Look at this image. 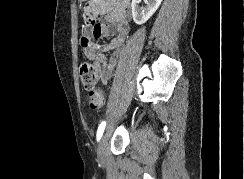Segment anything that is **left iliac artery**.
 <instances>
[{"label":"left iliac artery","mask_w":244,"mask_h":179,"mask_svg":"<svg viewBox=\"0 0 244 179\" xmlns=\"http://www.w3.org/2000/svg\"><path fill=\"white\" fill-rule=\"evenodd\" d=\"M105 126H106V122L103 121L99 127H98V130H97V141H99L103 135V132H104V129H105Z\"/></svg>","instance_id":"left-iliac-artery-1"}]
</instances>
